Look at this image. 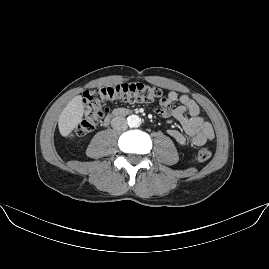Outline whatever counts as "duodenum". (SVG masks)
<instances>
[{"instance_id":"obj_1","label":"duodenum","mask_w":269,"mask_h":269,"mask_svg":"<svg viewBox=\"0 0 269 269\" xmlns=\"http://www.w3.org/2000/svg\"><path fill=\"white\" fill-rule=\"evenodd\" d=\"M130 110L124 109V108H117L114 109L109 116H107L104 120V124L107 125L110 120L114 117H122L130 114Z\"/></svg>"}]
</instances>
